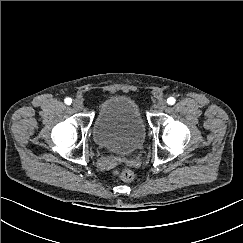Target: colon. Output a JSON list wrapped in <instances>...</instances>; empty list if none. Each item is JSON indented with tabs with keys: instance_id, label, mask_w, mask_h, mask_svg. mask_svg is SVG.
<instances>
[{
	"instance_id": "obj_1",
	"label": "colon",
	"mask_w": 243,
	"mask_h": 243,
	"mask_svg": "<svg viewBox=\"0 0 243 243\" xmlns=\"http://www.w3.org/2000/svg\"><path fill=\"white\" fill-rule=\"evenodd\" d=\"M119 176L124 182H131L134 179V173L129 169H122Z\"/></svg>"
}]
</instances>
